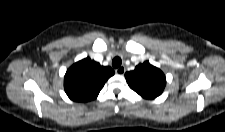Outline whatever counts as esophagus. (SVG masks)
<instances>
[{"mask_svg":"<svg viewBox=\"0 0 225 132\" xmlns=\"http://www.w3.org/2000/svg\"><path fill=\"white\" fill-rule=\"evenodd\" d=\"M125 71H126V69L124 66H120L115 70L116 74H118V75H123L125 73Z\"/></svg>","mask_w":225,"mask_h":132,"instance_id":"esophagus-1","label":"esophagus"}]
</instances>
